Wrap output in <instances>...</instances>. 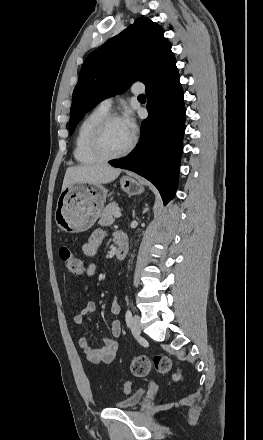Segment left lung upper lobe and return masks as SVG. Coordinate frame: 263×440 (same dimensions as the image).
Instances as JSON below:
<instances>
[{
	"mask_svg": "<svg viewBox=\"0 0 263 440\" xmlns=\"http://www.w3.org/2000/svg\"><path fill=\"white\" fill-rule=\"evenodd\" d=\"M173 61L163 28L148 18L136 19L87 56L73 91L69 133L103 99L121 93L136 80L147 83Z\"/></svg>",
	"mask_w": 263,
	"mask_h": 440,
	"instance_id": "1",
	"label": "left lung upper lobe"
}]
</instances>
